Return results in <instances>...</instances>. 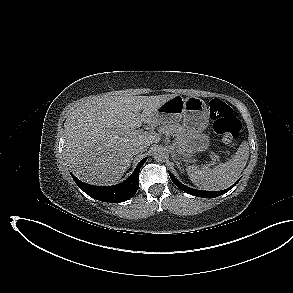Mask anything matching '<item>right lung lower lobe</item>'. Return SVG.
Segmentation results:
<instances>
[{"label":"right lung lower lobe","instance_id":"1","mask_svg":"<svg viewBox=\"0 0 293 293\" xmlns=\"http://www.w3.org/2000/svg\"><path fill=\"white\" fill-rule=\"evenodd\" d=\"M145 161L146 158L138 163L136 169L127 180L113 186H93L85 184L73 174L71 175L76 184L89 196L103 202L119 203L130 199L136 193L139 187V171Z\"/></svg>","mask_w":293,"mask_h":293}]
</instances>
